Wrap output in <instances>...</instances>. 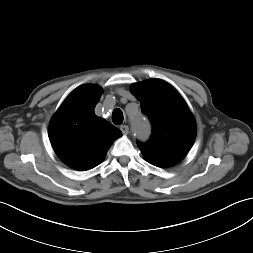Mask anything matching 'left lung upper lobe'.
Wrapping results in <instances>:
<instances>
[{
  "instance_id": "obj_1",
  "label": "left lung upper lobe",
  "mask_w": 253,
  "mask_h": 253,
  "mask_svg": "<svg viewBox=\"0 0 253 253\" xmlns=\"http://www.w3.org/2000/svg\"><path fill=\"white\" fill-rule=\"evenodd\" d=\"M142 111L152 123V136L138 143L144 159L158 167H170L181 161L191 149L196 126L180 94L161 79H150L131 86Z\"/></svg>"
}]
</instances>
